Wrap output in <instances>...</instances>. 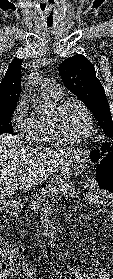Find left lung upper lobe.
<instances>
[{
    "label": "left lung upper lobe",
    "instance_id": "5c2ea615",
    "mask_svg": "<svg viewBox=\"0 0 113 279\" xmlns=\"http://www.w3.org/2000/svg\"><path fill=\"white\" fill-rule=\"evenodd\" d=\"M59 72L66 87L89 108L105 135L113 139L110 108L94 65L82 54H76L59 65Z\"/></svg>",
    "mask_w": 113,
    "mask_h": 279
}]
</instances>
